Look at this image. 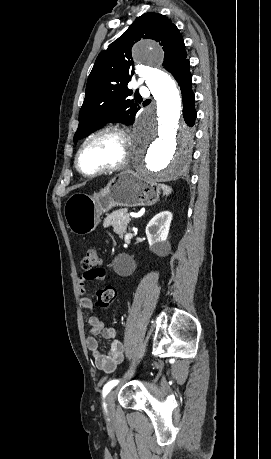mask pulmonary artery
<instances>
[{
    "label": "pulmonary artery",
    "instance_id": "pulmonary-artery-1",
    "mask_svg": "<svg viewBox=\"0 0 271 459\" xmlns=\"http://www.w3.org/2000/svg\"><path fill=\"white\" fill-rule=\"evenodd\" d=\"M140 96H141L142 98H147V97L149 96V91H148L147 89H142V90L140 91Z\"/></svg>",
    "mask_w": 271,
    "mask_h": 459
}]
</instances>
